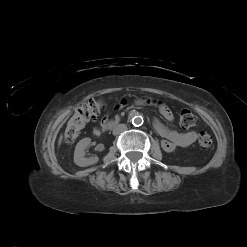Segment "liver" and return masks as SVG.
Here are the masks:
<instances>
[{
	"label": "liver",
	"mask_w": 247,
	"mask_h": 247,
	"mask_svg": "<svg viewBox=\"0 0 247 247\" xmlns=\"http://www.w3.org/2000/svg\"><path fill=\"white\" fill-rule=\"evenodd\" d=\"M61 141H62V135L60 136L59 141H58L59 145L61 144Z\"/></svg>",
	"instance_id": "liver-1"
}]
</instances>
